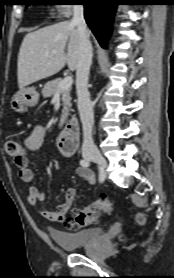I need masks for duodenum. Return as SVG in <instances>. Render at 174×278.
I'll return each instance as SVG.
<instances>
[{
	"label": "duodenum",
	"mask_w": 174,
	"mask_h": 278,
	"mask_svg": "<svg viewBox=\"0 0 174 278\" xmlns=\"http://www.w3.org/2000/svg\"><path fill=\"white\" fill-rule=\"evenodd\" d=\"M78 131V121L72 118L66 127L59 133L56 144L63 155L70 156L74 154L77 145Z\"/></svg>",
	"instance_id": "1"
}]
</instances>
